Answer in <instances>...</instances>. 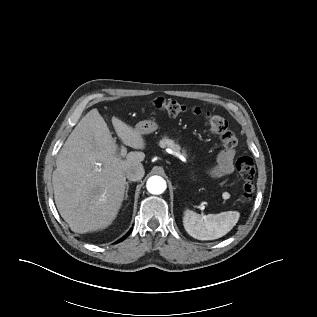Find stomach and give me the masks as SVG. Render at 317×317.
<instances>
[{
    "mask_svg": "<svg viewBox=\"0 0 317 317\" xmlns=\"http://www.w3.org/2000/svg\"><path fill=\"white\" fill-rule=\"evenodd\" d=\"M158 129V124L154 120H144L140 121L136 125V130L141 134H149Z\"/></svg>",
    "mask_w": 317,
    "mask_h": 317,
    "instance_id": "obj_1",
    "label": "stomach"
}]
</instances>
